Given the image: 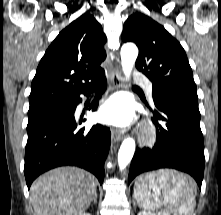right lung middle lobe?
I'll return each instance as SVG.
<instances>
[{
  "instance_id": "dd1d6c3e",
  "label": "right lung middle lobe",
  "mask_w": 221,
  "mask_h": 215,
  "mask_svg": "<svg viewBox=\"0 0 221 215\" xmlns=\"http://www.w3.org/2000/svg\"><path fill=\"white\" fill-rule=\"evenodd\" d=\"M41 109H43V108H40V109H30V110L28 111V116L32 115L33 113H35V112H37V111H40Z\"/></svg>"
}]
</instances>
